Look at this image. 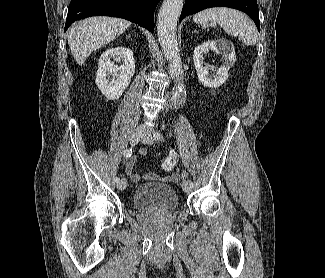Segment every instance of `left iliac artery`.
Returning <instances> with one entry per match:
<instances>
[{"mask_svg": "<svg viewBox=\"0 0 325 278\" xmlns=\"http://www.w3.org/2000/svg\"><path fill=\"white\" fill-rule=\"evenodd\" d=\"M153 137H154L155 140H161L162 139V136H161V134L159 132H154ZM189 185L192 188L194 187V184H193L192 181H189Z\"/></svg>", "mask_w": 325, "mask_h": 278, "instance_id": "44dca946", "label": "left iliac artery"}]
</instances>
